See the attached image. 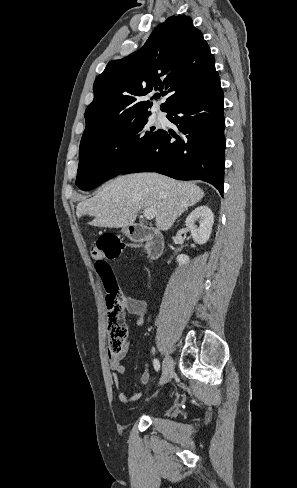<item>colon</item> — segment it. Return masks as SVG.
I'll list each match as a JSON object with an SVG mask.
<instances>
[{"label": "colon", "mask_w": 297, "mask_h": 488, "mask_svg": "<svg viewBox=\"0 0 297 488\" xmlns=\"http://www.w3.org/2000/svg\"><path fill=\"white\" fill-rule=\"evenodd\" d=\"M130 245L123 243L116 235L104 233L99 237L96 245L92 247V256L95 258V270L100 276L106 290L107 326L109 332V349L113 355L119 354L124 346L127 326L125 320L124 296L120 291L114 271L108 260L118 257Z\"/></svg>", "instance_id": "1"}]
</instances>
